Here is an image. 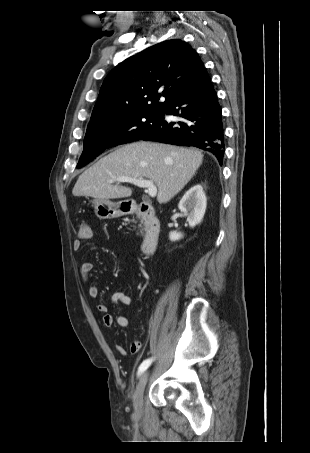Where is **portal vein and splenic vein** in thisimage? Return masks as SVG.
I'll use <instances>...</instances> for the list:
<instances>
[{"mask_svg": "<svg viewBox=\"0 0 310 453\" xmlns=\"http://www.w3.org/2000/svg\"><path fill=\"white\" fill-rule=\"evenodd\" d=\"M108 182L109 183L129 182L138 187L146 188L148 191V195L152 198L155 197L157 194V188L152 180H147V179H143V178L136 179V178L126 177V176H119V177H113Z\"/></svg>", "mask_w": 310, "mask_h": 453, "instance_id": "1", "label": "portal vein and splenic vein"}]
</instances>
